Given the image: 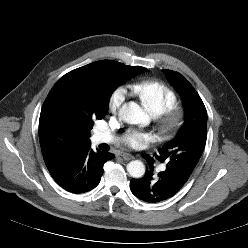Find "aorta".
I'll use <instances>...</instances> for the list:
<instances>
[{
	"mask_svg": "<svg viewBox=\"0 0 248 248\" xmlns=\"http://www.w3.org/2000/svg\"><path fill=\"white\" fill-rule=\"evenodd\" d=\"M119 117L128 124H147L149 120L144 110L135 102L124 104L119 111ZM127 171L133 178H141L145 173V165L134 160L127 164Z\"/></svg>",
	"mask_w": 248,
	"mask_h": 248,
	"instance_id": "762f6f07",
	"label": "aorta"
}]
</instances>
